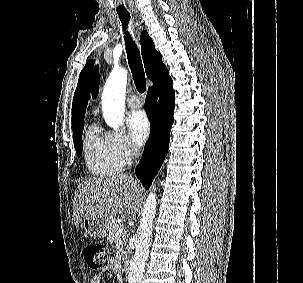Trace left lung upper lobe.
<instances>
[{
	"label": "left lung upper lobe",
	"mask_w": 303,
	"mask_h": 283,
	"mask_svg": "<svg viewBox=\"0 0 303 283\" xmlns=\"http://www.w3.org/2000/svg\"><path fill=\"white\" fill-rule=\"evenodd\" d=\"M97 88H98V80L95 82V85H93V97L94 98L97 95Z\"/></svg>",
	"instance_id": "left-lung-upper-lobe-1"
}]
</instances>
